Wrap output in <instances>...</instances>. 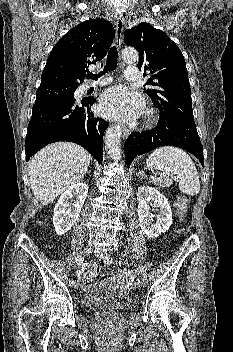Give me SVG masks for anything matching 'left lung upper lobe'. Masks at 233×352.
<instances>
[{"label":"left lung upper lobe","mask_w":233,"mask_h":352,"mask_svg":"<svg viewBox=\"0 0 233 352\" xmlns=\"http://www.w3.org/2000/svg\"><path fill=\"white\" fill-rule=\"evenodd\" d=\"M124 42L139 52V70L150 75L144 89L160 113L194 120L186 63L179 47L159 29L139 23L126 30Z\"/></svg>","instance_id":"left-lung-upper-lobe-1"}]
</instances>
